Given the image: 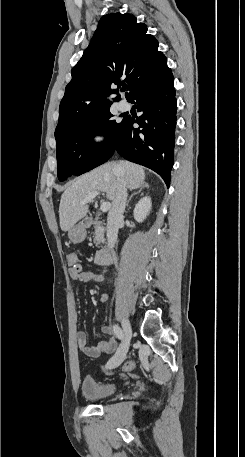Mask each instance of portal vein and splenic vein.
<instances>
[{
  "instance_id": "portal-vein-and-splenic-vein-1",
  "label": "portal vein and splenic vein",
  "mask_w": 245,
  "mask_h": 457,
  "mask_svg": "<svg viewBox=\"0 0 245 457\" xmlns=\"http://www.w3.org/2000/svg\"><path fill=\"white\" fill-rule=\"evenodd\" d=\"M98 194H100L99 190H93V192H88V194H86L85 198H83L81 202H90V200H93V198H95V196H98ZM100 208L102 212H107V210L111 208V202H102Z\"/></svg>"
}]
</instances>
